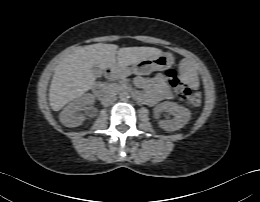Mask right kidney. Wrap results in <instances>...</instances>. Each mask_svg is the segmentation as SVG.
<instances>
[{
  "instance_id": "ca27d5eb",
  "label": "right kidney",
  "mask_w": 260,
  "mask_h": 202,
  "mask_svg": "<svg viewBox=\"0 0 260 202\" xmlns=\"http://www.w3.org/2000/svg\"><path fill=\"white\" fill-rule=\"evenodd\" d=\"M94 102L91 94H83L69 103L60 114V121L66 127H77L85 120V114L81 113L87 105Z\"/></svg>"
}]
</instances>
